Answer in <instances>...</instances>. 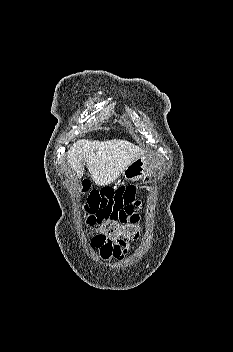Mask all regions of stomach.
Listing matches in <instances>:
<instances>
[{
    "label": "stomach",
    "mask_w": 233,
    "mask_h": 352,
    "mask_svg": "<svg viewBox=\"0 0 233 352\" xmlns=\"http://www.w3.org/2000/svg\"><path fill=\"white\" fill-rule=\"evenodd\" d=\"M152 154L147 152L133 161L122 173L124 178L130 181L146 177L152 170Z\"/></svg>",
    "instance_id": "obj_1"
}]
</instances>
